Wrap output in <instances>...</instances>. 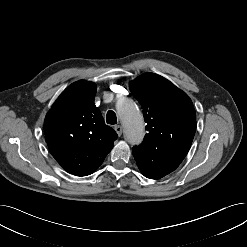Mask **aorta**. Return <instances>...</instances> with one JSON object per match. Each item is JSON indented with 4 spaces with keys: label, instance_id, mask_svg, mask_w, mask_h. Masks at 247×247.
Wrapping results in <instances>:
<instances>
[{
    "label": "aorta",
    "instance_id": "762f6f07",
    "mask_svg": "<svg viewBox=\"0 0 247 247\" xmlns=\"http://www.w3.org/2000/svg\"><path fill=\"white\" fill-rule=\"evenodd\" d=\"M117 111L121 118L126 140L132 144H139L145 134L144 120L137 105L131 99H123L117 103Z\"/></svg>",
    "mask_w": 247,
    "mask_h": 247
}]
</instances>
